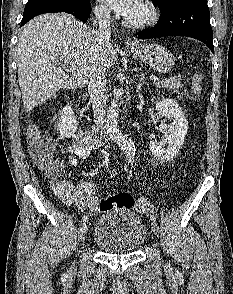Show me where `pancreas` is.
Instances as JSON below:
<instances>
[{"instance_id": "obj_1", "label": "pancreas", "mask_w": 233, "mask_h": 294, "mask_svg": "<svg viewBox=\"0 0 233 294\" xmlns=\"http://www.w3.org/2000/svg\"><path fill=\"white\" fill-rule=\"evenodd\" d=\"M155 86L158 88L162 87V88H167V89H173L175 91L182 88L180 78H177V77H174L171 79H164V80H160L158 82H155Z\"/></svg>"}]
</instances>
